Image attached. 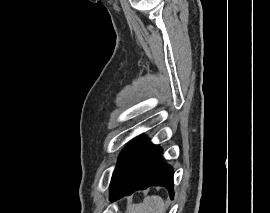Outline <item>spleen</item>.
<instances>
[{"instance_id":"obj_1","label":"spleen","mask_w":270,"mask_h":213,"mask_svg":"<svg viewBox=\"0 0 270 213\" xmlns=\"http://www.w3.org/2000/svg\"><path fill=\"white\" fill-rule=\"evenodd\" d=\"M129 213H165V202L160 196H147L143 203L130 205Z\"/></svg>"}]
</instances>
